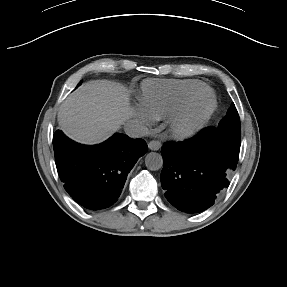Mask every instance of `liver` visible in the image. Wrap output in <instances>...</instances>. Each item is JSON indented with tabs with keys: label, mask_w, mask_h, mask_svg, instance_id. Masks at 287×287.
I'll use <instances>...</instances> for the list:
<instances>
[{
	"label": "liver",
	"mask_w": 287,
	"mask_h": 287,
	"mask_svg": "<svg viewBox=\"0 0 287 287\" xmlns=\"http://www.w3.org/2000/svg\"><path fill=\"white\" fill-rule=\"evenodd\" d=\"M133 116L124 86L110 80L82 84L60 106L59 128L82 144L107 140Z\"/></svg>",
	"instance_id": "obj_1"
}]
</instances>
